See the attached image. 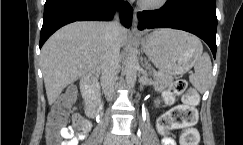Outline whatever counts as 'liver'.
Here are the masks:
<instances>
[{"mask_svg": "<svg viewBox=\"0 0 243 145\" xmlns=\"http://www.w3.org/2000/svg\"><path fill=\"white\" fill-rule=\"evenodd\" d=\"M106 25L96 21L71 23L46 41L41 51V69L49 105L68 85L98 67L105 47ZM127 35L128 31L121 27V46L126 44Z\"/></svg>", "mask_w": 243, "mask_h": 145, "instance_id": "1", "label": "liver"}]
</instances>
